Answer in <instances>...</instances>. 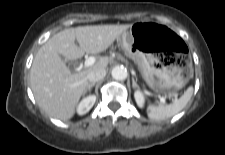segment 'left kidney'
Wrapping results in <instances>:
<instances>
[{
	"label": "left kidney",
	"instance_id": "1",
	"mask_svg": "<svg viewBox=\"0 0 225 155\" xmlns=\"http://www.w3.org/2000/svg\"><path fill=\"white\" fill-rule=\"evenodd\" d=\"M134 98H135L137 105L142 108L145 103V98H144L143 93L141 91H135Z\"/></svg>",
	"mask_w": 225,
	"mask_h": 155
}]
</instances>
